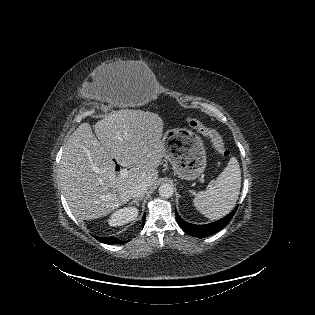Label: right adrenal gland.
Masks as SVG:
<instances>
[{
    "instance_id": "1",
    "label": "right adrenal gland",
    "mask_w": 315,
    "mask_h": 315,
    "mask_svg": "<svg viewBox=\"0 0 315 315\" xmlns=\"http://www.w3.org/2000/svg\"><path fill=\"white\" fill-rule=\"evenodd\" d=\"M142 200V198L134 199L130 202V204H136V206H139V201Z\"/></svg>"
}]
</instances>
